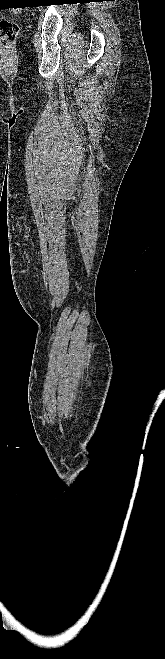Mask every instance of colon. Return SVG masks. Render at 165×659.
<instances>
[{
    "label": "colon",
    "mask_w": 165,
    "mask_h": 659,
    "mask_svg": "<svg viewBox=\"0 0 165 659\" xmlns=\"http://www.w3.org/2000/svg\"><path fill=\"white\" fill-rule=\"evenodd\" d=\"M18 25L10 20H0V47L10 48L18 35Z\"/></svg>",
    "instance_id": "5ec220e1"
}]
</instances>
